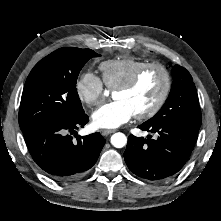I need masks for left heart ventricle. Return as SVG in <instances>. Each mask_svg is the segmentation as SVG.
Returning a JSON list of instances; mask_svg holds the SVG:
<instances>
[{"mask_svg":"<svg viewBox=\"0 0 221 221\" xmlns=\"http://www.w3.org/2000/svg\"><path fill=\"white\" fill-rule=\"evenodd\" d=\"M163 75L158 69L148 70L130 90L116 91L113 97L125 101L134 114L149 109L158 99L163 88Z\"/></svg>","mask_w":221,"mask_h":221,"instance_id":"left-heart-ventricle-1","label":"left heart ventricle"}]
</instances>
